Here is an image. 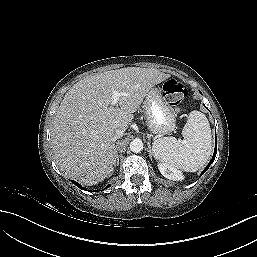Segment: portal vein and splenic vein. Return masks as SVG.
<instances>
[{
	"label": "portal vein and splenic vein",
	"instance_id": "portal-vein-and-splenic-vein-1",
	"mask_svg": "<svg viewBox=\"0 0 257 257\" xmlns=\"http://www.w3.org/2000/svg\"><path fill=\"white\" fill-rule=\"evenodd\" d=\"M123 95H126L125 93L119 92V91H113L112 92V97H111V104L116 105L119 98Z\"/></svg>",
	"mask_w": 257,
	"mask_h": 257
}]
</instances>
